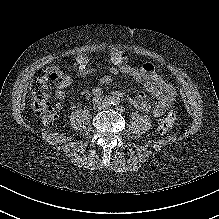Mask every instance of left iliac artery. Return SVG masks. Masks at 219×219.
I'll use <instances>...</instances> for the list:
<instances>
[{"label": "left iliac artery", "instance_id": "1", "mask_svg": "<svg viewBox=\"0 0 219 219\" xmlns=\"http://www.w3.org/2000/svg\"><path fill=\"white\" fill-rule=\"evenodd\" d=\"M119 104H120V99H119V98H116L114 105H119Z\"/></svg>", "mask_w": 219, "mask_h": 219}]
</instances>
